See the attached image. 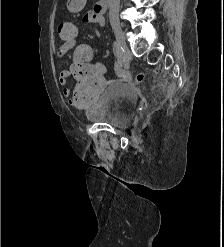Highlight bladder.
Wrapping results in <instances>:
<instances>
[{
  "mask_svg": "<svg viewBox=\"0 0 224 247\" xmlns=\"http://www.w3.org/2000/svg\"><path fill=\"white\" fill-rule=\"evenodd\" d=\"M138 96L135 88L124 81H116L103 89L83 110L87 120L127 128L135 120Z\"/></svg>",
  "mask_w": 224,
  "mask_h": 247,
  "instance_id": "31cf9c89",
  "label": "bladder"
}]
</instances>
